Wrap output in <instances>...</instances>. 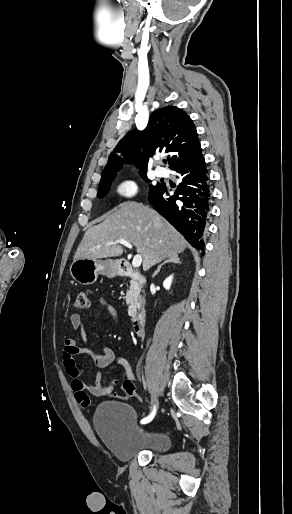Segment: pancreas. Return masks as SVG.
<instances>
[{"instance_id": "1", "label": "pancreas", "mask_w": 292, "mask_h": 514, "mask_svg": "<svg viewBox=\"0 0 292 514\" xmlns=\"http://www.w3.org/2000/svg\"><path fill=\"white\" fill-rule=\"evenodd\" d=\"M126 304H128V316H136V308L140 306L139 288L137 284L130 286L126 294Z\"/></svg>"}]
</instances>
